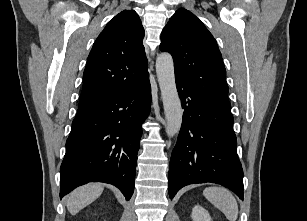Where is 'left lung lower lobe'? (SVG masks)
<instances>
[{"mask_svg": "<svg viewBox=\"0 0 307 221\" xmlns=\"http://www.w3.org/2000/svg\"><path fill=\"white\" fill-rule=\"evenodd\" d=\"M176 86L185 111L169 165V197L186 185L212 182L243 200V170L230 109L200 95L179 77Z\"/></svg>", "mask_w": 307, "mask_h": 221, "instance_id": "obj_1", "label": "left lung lower lobe"}]
</instances>
